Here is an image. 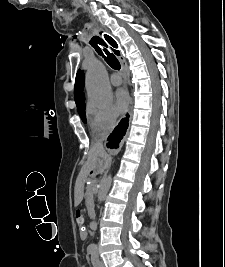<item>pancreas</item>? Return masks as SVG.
Instances as JSON below:
<instances>
[{"mask_svg":"<svg viewBox=\"0 0 225 267\" xmlns=\"http://www.w3.org/2000/svg\"><path fill=\"white\" fill-rule=\"evenodd\" d=\"M85 204H86L88 213L91 215L93 212V189H92V186H89L86 189Z\"/></svg>","mask_w":225,"mask_h":267,"instance_id":"pancreas-1","label":"pancreas"}]
</instances>
